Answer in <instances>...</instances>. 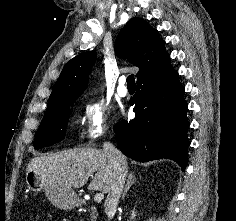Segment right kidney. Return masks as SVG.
Instances as JSON below:
<instances>
[{
    "label": "right kidney",
    "instance_id": "right-kidney-1",
    "mask_svg": "<svg viewBox=\"0 0 236 221\" xmlns=\"http://www.w3.org/2000/svg\"><path fill=\"white\" fill-rule=\"evenodd\" d=\"M135 216H136L135 212H134V211H132V214H131V219H134V218H135Z\"/></svg>",
    "mask_w": 236,
    "mask_h": 221
}]
</instances>
